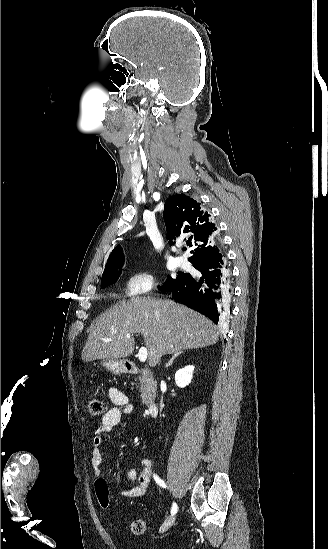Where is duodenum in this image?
I'll return each instance as SVG.
<instances>
[{"label": "duodenum", "mask_w": 328, "mask_h": 549, "mask_svg": "<svg viewBox=\"0 0 328 549\" xmlns=\"http://www.w3.org/2000/svg\"><path fill=\"white\" fill-rule=\"evenodd\" d=\"M127 371L129 373H139L140 369L134 365H128ZM159 405L157 402L152 401L148 404V412L151 416H156L158 414Z\"/></svg>", "instance_id": "1"}]
</instances>
